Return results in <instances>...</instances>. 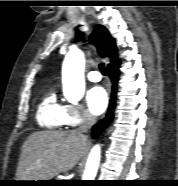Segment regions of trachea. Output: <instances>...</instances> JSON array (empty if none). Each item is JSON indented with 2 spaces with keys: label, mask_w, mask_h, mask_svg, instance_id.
<instances>
[{
  "label": "trachea",
  "mask_w": 178,
  "mask_h": 186,
  "mask_svg": "<svg viewBox=\"0 0 178 186\" xmlns=\"http://www.w3.org/2000/svg\"><path fill=\"white\" fill-rule=\"evenodd\" d=\"M99 69L101 71L102 74H105V67H104V64L103 63H100L99 64Z\"/></svg>",
  "instance_id": "trachea-1"
}]
</instances>
